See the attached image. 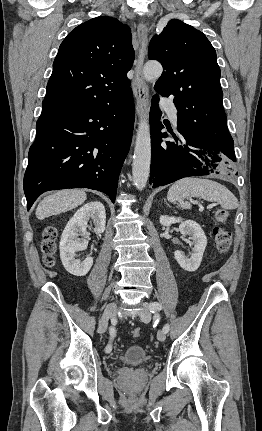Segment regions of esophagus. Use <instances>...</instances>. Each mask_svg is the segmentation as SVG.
Returning <instances> with one entry per match:
<instances>
[{"label": "esophagus", "mask_w": 262, "mask_h": 431, "mask_svg": "<svg viewBox=\"0 0 262 431\" xmlns=\"http://www.w3.org/2000/svg\"><path fill=\"white\" fill-rule=\"evenodd\" d=\"M138 55L134 68L132 89L136 99V112L139 118L146 116L148 111V92L143 76V63L148 44V28L140 24L137 28Z\"/></svg>", "instance_id": "1"}]
</instances>
